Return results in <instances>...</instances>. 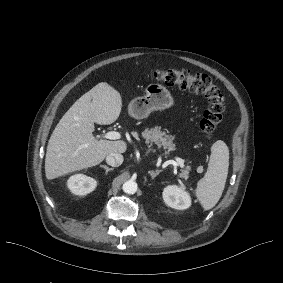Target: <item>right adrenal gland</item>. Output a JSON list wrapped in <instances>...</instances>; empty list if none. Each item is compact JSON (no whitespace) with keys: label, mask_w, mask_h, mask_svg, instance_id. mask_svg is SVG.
<instances>
[{"label":"right adrenal gland","mask_w":283,"mask_h":283,"mask_svg":"<svg viewBox=\"0 0 283 283\" xmlns=\"http://www.w3.org/2000/svg\"><path fill=\"white\" fill-rule=\"evenodd\" d=\"M101 168L105 169V173L111 172L114 170V168H109L106 165H100Z\"/></svg>","instance_id":"2a0ac1e0"}]
</instances>
